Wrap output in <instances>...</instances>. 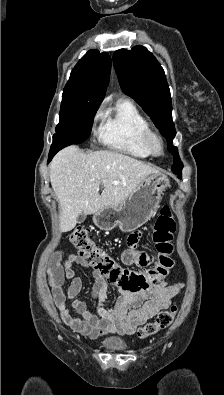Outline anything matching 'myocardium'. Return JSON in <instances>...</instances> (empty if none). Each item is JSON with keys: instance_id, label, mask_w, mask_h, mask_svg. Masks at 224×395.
<instances>
[{"instance_id": "f54148a6", "label": "myocardium", "mask_w": 224, "mask_h": 395, "mask_svg": "<svg viewBox=\"0 0 224 395\" xmlns=\"http://www.w3.org/2000/svg\"><path fill=\"white\" fill-rule=\"evenodd\" d=\"M142 140L150 155L159 157L164 154L165 148L162 137L149 127L144 131Z\"/></svg>"}]
</instances>
